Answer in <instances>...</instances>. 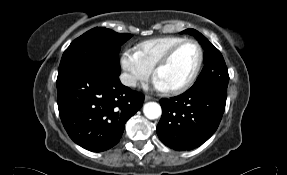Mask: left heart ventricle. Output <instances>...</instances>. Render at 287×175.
<instances>
[{"instance_id":"b2bd125f","label":"left heart ventricle","mask_w":287,"mask_h":175,"mask_svg":"<svg viewBox=\"0 0 287 175\" xmlns=\"http://www.w3.org/2000/svg\"><path fill=\"white\" fill-rule=\"evenodd\" d=\"M198 59L197 46L188 43L181 47L172 60L158 72L157 78L165 85L166 89L181 86L191 77Z\"/></svg>"}]
</instances>
